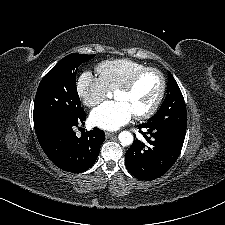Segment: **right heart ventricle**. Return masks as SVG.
<instances>
[{
    "label": "right heart ventricle",
    "instance_id": "right-heart-ventricle-1",
    "mask_svg": "<svg viewBox=\"0 0 225 225\" xmlns=\"http://www.w3.org/2000/svg\"><path fill=\"white\" fill-rule=\"evenodd\" d=\"M145 67V65L129 59H112L101 62L97 69L106 88L109 91H116L132 75Z\"/></svg>",
    "mask_w": 225,
    "mask_h": 225
}]
</instances>
